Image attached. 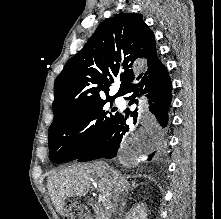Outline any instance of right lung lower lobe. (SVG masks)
<instances>
[{
    "label": "right lung lower lobe",
    "instance_id": "obj_1",
    "mask_svg": "<svg viewBox=\"0 0 221 219\" xmlns=\"http://www.w3.org/2000/svg\"><path fill=\"white\" fill-rule=\"evenodd\" d=\"M171 90L168 71L156 57L122 94L129 96L127 99L131 100V104L139 105V112L136 108L131 117L134 118L135 124L139 114L140 121L147 127L143 140H149L151 143L150 148L145 149L148 161H158L165 149L162 128L166 127L168 122ZM126 119L127 116L119 114L103 139L77 160L83 162L122 156L125 149V134L129 131Z\"/></svg>",
    "mask_w": 221,
    "mask_h": 219
}]
</instances>
